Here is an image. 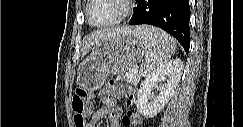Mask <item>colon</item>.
<instances>
[{"label": "colon", "mask_w": 243, "mask_h": 127, "mask_svg": "<svg viewBox=\"0 0 243 127\" xmlns=\"http://www.w3.org/2000/svg\"><path fill=\"white\" fill-rule=\"evenodd\" d=\"M102 94H112L115 98L124 99L126 105L131 107L135 101V91L132 86L121 83L116 79H110ZM88 93L83 87L77 89L71 101L73 121L76 127H84L86 118L90 112L87 101ZM139 118L136 113L128 110L122 118V125L126 127L136 126Z\"/></svg>", "instance_id": "1"}]
</instances>
